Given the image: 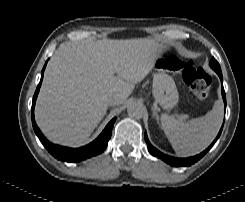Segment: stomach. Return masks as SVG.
<instances>
[{"label": "stomach", "mask_w": 245, "mask_h": 202, "mask_svg": "<svg viewBox=\"0 0 245 202\" xmlns=\"http://www.w3.org/2000/svg\"><path fill=\"white\" fill-rule=\"evenodd\" d=\"M167 60L162 51L155 59L154 66L157 70L153 74L152 93L155 101L166 110L172 109L179 100V94L173 78L167 74L164 61Z\"/></svg>", "instance_id": "obj_1"}]
</instances>
